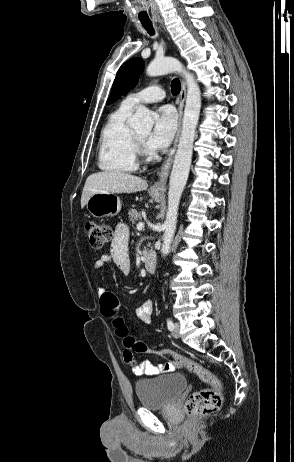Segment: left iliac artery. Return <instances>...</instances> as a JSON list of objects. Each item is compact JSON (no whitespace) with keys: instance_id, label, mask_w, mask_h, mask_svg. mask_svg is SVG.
I'll return each mask as SVG.
<instances>
[{"instance_id":"1","label":"left iliac artery","mask_w":294,"mask_h":462,"mask_svg":"<svg viewBox=\"0 0 294 462\" xmlns=\"http://www.w3.org/2000/svg\"><path fill=\"white\" fill-rule=\"evenodd\" d=\"M167 327L170 331H172L174 328V324L170 319H167Z\"/></svg>"}]
</instances>
